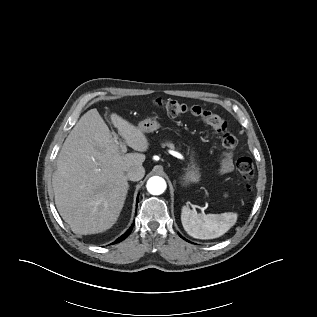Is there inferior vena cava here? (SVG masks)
Listing matches in <instances>:
<instances>
[{
	"instance_id": "1",
	"label": "inferior vena cava",
	"mask_w": 317,
	"mask_h": 317,
	"mask_svg": "<svg viewBox=\"0 0 317 317\" xmlns=\"http://www.w3.org/2000/svg\"><path fill=\"white\" fill-rule=\"evenodd\" d=\"M145 175V169L143 166H134L126 174L128 180L139 181Z\"/></svg>"
}]
</instances>
